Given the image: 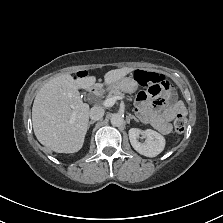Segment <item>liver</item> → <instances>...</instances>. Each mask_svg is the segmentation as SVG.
Returning a JSON list of instances; mask_svg holds the SVG:
<instances>
[{"instance_id": "obj_1", "label": "liver", "mask_w": 223, "mask_h": 223, "mask_svg": "<svg viewBox=\"0 0 223 223\" xmlns=\"http://www.w3.org/2000/svg\"><path fill=\"white\" fill-rule=\"evenodd\" d=\"M133 68H121L107 73L111 83L121 79ZM95 82L93 77L72 80L69 74L61 75L45 84L37 93L33 104V127L38 140L59 153L78 151L87 131L89 106L78 91ZM100 84H96L98 86Z\"/></svg>"}]
</instances>
